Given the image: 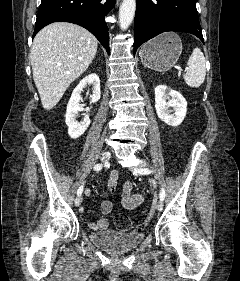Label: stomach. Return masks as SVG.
<instances>
[{"label": "stomach", "instance_id": "1", "mask_svg": "<svg viewBox=\"0 0 240 281\" xmlns=\"http://www.w3.org/2000/svg\"><path fill=\"white\" fill-rule=\"evenodd\" d=\"M181 52L180 37L169 32L144 44L139 56L145 66L157 71H167L177 62Z\"/></svg>", "mask_w": 240, "mask_h": 281}]
</instances>
